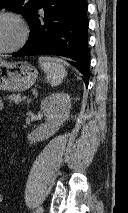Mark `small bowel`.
Returning <instances> with one entry per match:
<instances>
[{
    "label": "small bowel",
    "mask_w": 128,
    "mask_h": 213,
    "mask_svg": "<svg viewBox=\"0 0 128 213\" xmlns=\"http://www.w3.org/2000/svg\"><path fill=\"white\" fill-rule=\"evenodd\" d=\"M3 109V101L2 99L0 98V111Z\"/></svg>",
    "instance_id": "small-bowel-1"
}]
</instances>
